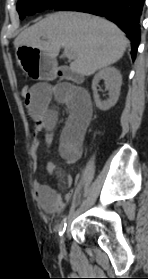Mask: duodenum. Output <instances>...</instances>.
<instances>
[{"label": "duodenum", "instance_id": "obj_1", "mask_svg": "<svg viewBox=\"0 0 148 279\" xmlns=\"http://www.w3.org/2000/svg\"><path fill=\"white\" fill-rule=\"evenodd\" d=\"M57 72H58V76L64 80L78 81L81 79V76L78 73L74 72L68 66L58 67Z\"/></svg>", "mask_w": 148, "mask_h": 279}]
</instances>
